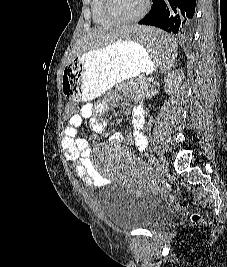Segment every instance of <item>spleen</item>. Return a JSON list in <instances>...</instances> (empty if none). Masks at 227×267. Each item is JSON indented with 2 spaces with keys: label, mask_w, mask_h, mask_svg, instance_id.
I'll return each mask as SVG.
<instances>
[{
  "label": "spleen",
  "mask_w": 227,
  "mask_h": 267,
  "mask_svg": "<svg viewBox=\"0 0 227 267\" xmlns=\"http://www.w3.org/2000/svg\"><path fill=\"white\" fill-rule=\"evenodd\" d=\"M119 30H129L122 36V41L146 47L152 63H156L157 72H168L173 67L178 50L176 38H172L169 33L159 31V27L144 25H119Z\"/></svg>",
  "instance_id": "spleen-1"
}]
</instances>
